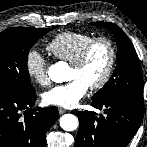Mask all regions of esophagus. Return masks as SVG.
I'll use <instances>...</instances> for the list:
<instances>
[{"label": "esophagus", "mask_w": 147, "mask_h": 147, "mask_svg": "<svg viewBox=\"0 0 147 147\" xmlns=\"http://www.w3.org/2000/svg\"><path fill=\"white\" fill-rule=\"evenodd\" d=\"M59 114H64L65 112H67L65 109L63 108H59L58 109Z\"/></svg>", "instance_id": "esophagus-1"}]
</instances>
